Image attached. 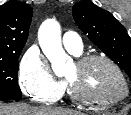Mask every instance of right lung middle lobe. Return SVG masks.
<instances>
[{
    "label": "right lung middle lobe",
    "instance_id": "dd1d6c3e",
    "mask_svg": "<svg viewBox=\"0 0 131 115\" xmlns=\"http://www.w3.org/2000/svg\"><path fill=\"white\" fill-rule=\"evenodd\" d=\"M20 52L0 56V100L21 99L18 86V58Z\"/></svg>",
    "mask_w": 131,
    "mask_h": 115
}]
</instances>
